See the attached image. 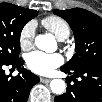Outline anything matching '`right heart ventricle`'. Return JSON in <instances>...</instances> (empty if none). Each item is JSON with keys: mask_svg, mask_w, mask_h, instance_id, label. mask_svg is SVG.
Wrapping results in <instances>:
<instances>
[{"mask_svg": "<svg viewBox=\"0 0 102 102\" xmlns=\"http://www.w3.org/2000/svg\"><path fill=\"white\" fill-rule=\"evenodd\" d=\"M41 23L60 41L66 40L71 35L69 23L59 16H48L42 19Z\"/></svg>", "mask_w": 102, "mask_h": 102, "instance_id": "1", "label": "right heart ventricle"}]
</instances>
